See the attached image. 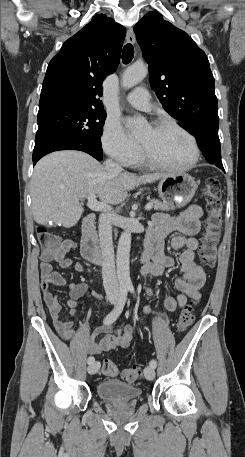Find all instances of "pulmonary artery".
<instances>
[{"label": "pulmonary artery", "instance_id": "e3ab8cb5", "mask_svg": "<svg viewBox=\"0 0 245 457\" xmlns=\"http://www.w3.org/2000/svg\"><path fill=\"white\" fill-rule=\"evenodd\" d=\"M124 100L138 109L149 110L151 95L148 86H135L134 91L126 95Z\"/></svg>", "mask_w": 245, "mask_h": 457}]
</instances>
